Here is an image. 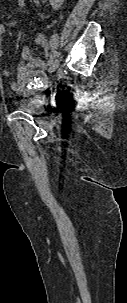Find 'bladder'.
I'll use <instances>...</instances> for the list:
<instances>
[{"mask_svg": "<svg viewBox=\"0 0 127 303\" xmlns=\"http://www.w3.org/2000/svg\"><path fill=\"white\" fill-rule=\"evenodd\" d=\"M13 104L18 110L31 114H40L44 106V103L40 100V98L32 94H26L24 96L15 98L13 100Z\"/></svg>", "mask_w": 127, "mask_h": 303, "instance_id": "1", "label": "bladder"}]
</instances>
